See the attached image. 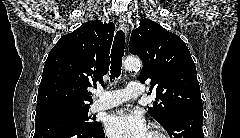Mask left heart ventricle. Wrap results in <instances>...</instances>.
I'll return each instance as SVG.
<instances>
[{"label": "left heart ventricle", "instance_id": "left-heart-ventricle-1", "mask_svg": "<svg viewBox=\"0 0 240 138\" xmlns=\"http://www.w3.org/2000/svg\"><path fill=\"white\" fill-rule=\"evenodd\" d=\"M149 138H157L152 132H150Z\"/></svg>", "mask_w": 240, "mask_h": 138}]
</instances>
